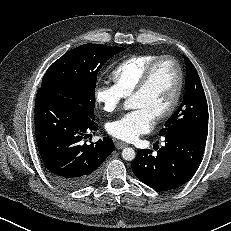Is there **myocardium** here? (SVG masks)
<instances>
[{"mask_svg": "<svg viewBox=\"0 0 231 231\" xmlns=\"http://www.w3.org/2000/svg\"><path fill=\"white\" fill-rule=\"evenodd\" d=\"M164 60L170 61L175 66V69L177 72V85H176L175 92H174V95L172 97L171 102L169 103V105L167 106V108L165 110H163L161 113H159L155 116L156 120H164V119L170 117L174 113V111L176 110V108L180 102V99H181V96L183 93V89H184V80H185L184 71H183V68H182L180 62L171 55L158 56L155 60H153L146 67V69L144 70V72L140 78V81L138 82L136 88L134 89V91L131 94V97H133L135 95L142 93L147 88L154 69L156 68V66L160 62H162Z\"/></svg>", "mask_w": 231, "mask_h": 231, "instance_id": "myocardium-1", "label": "myocardium"}]
</instances>
